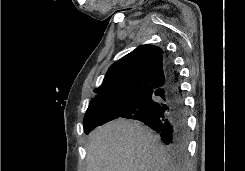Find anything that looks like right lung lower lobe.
Listing matches in <instances>:
<instances>
[{"mask_svg": "<svg viewBox=\"0 0 245 171\" xmlns=\"http://www.w3.org/2000/svg\"><path fill=\"white\" fill-rule=\"evenodd\" d=\"M166 83L146 94H140L128 101L100 125L123 117L136 119L159 133L163 142L177 150V156H185L187 138V119L178 77L170 58L165 63Z\"/></svg>", "mask_w": 245, "mask_h": 171, "instance_id": "right-lung-lower-lobe-1", "label": "right lung lower lobe"}]
</instances>
